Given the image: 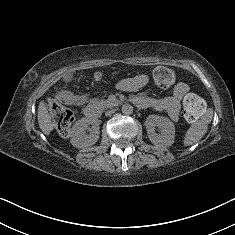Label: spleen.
Listing matches in <instances>:
<instances>
[{
    "label": "spleen",
    "instance_id": "3e777b00",
    "mask_svg": "<svg viewBox=\"0 0 235 235\" xmlns=\"http://www.w3.org/2000/svg\"><path fill=\"white\" fill-rule=\"evenodd\" d=\"M204 129H206V126H204ZM196 139H197V137L194 138V139H192L191 137H189V138H187V141L190 143V142L195 141Z\"/></svg>",
    "mask_w": 235,
    "mask_h": 235
}]
</instances>
